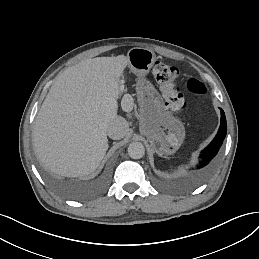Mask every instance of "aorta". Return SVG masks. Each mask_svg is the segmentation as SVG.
Wrapping results in <instances>:
<instances>
[{"label": "aorta", "instance_id": "obj_1", "mask_svg": "<svg viewBox=\"0 0 259 259\" xmlns=\"http://www.w3.org/2000/svg\"><path fill=\"white\" fill-rule=\"evenodd\" d=\"M128 154L132 159H140L145 154L144 145L141 142H132L128 147Z\"/></svg>", "mask_w": 259, "mask_h": 259}]
</instances>
